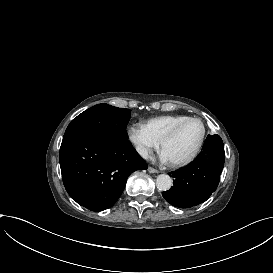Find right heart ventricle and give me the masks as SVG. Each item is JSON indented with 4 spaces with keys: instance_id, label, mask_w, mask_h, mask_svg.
Returning a JSON list of instances; mask_svg holds the SVG:
<instances>
[{
    "instance_id": "obj_1",
    "label": "right heart ventricle",
    "mask_w": 273,
    "mask_h": 273,
    "mask_svg": "<svg viewBox=\"0 0 273 273\" xmlns=\"http://www.w3.org/2000/svg\"><path fill=\"white\" fill-rule=\"evenodd\" d=\"M188 115H165L146 121L145 127L156 142H160L164 135L177 123L187 119Z\"/></svg>"
}]
</instances>
